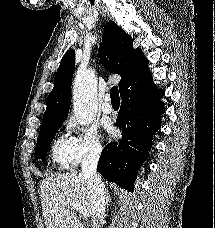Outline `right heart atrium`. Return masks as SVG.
I'll use <instances>...</instances> for the list:
<instances>
[{"label": "right heart atrium", "instance_id": "1", "mask_svg": "<svg viewBox=\"0 0 215 228\" xmlns=\"http://www.w3.org/2000/svg\"><path fill=\"white\" fill-rule=\"evenodd\" d=\"M67 129L74 133L75 164L97 160L101 157L104 146L99 130L91 125H81L73 118L67 121Z\"/></svg>", "mask_w": 215, "mask_h": 228}]
</instances>
